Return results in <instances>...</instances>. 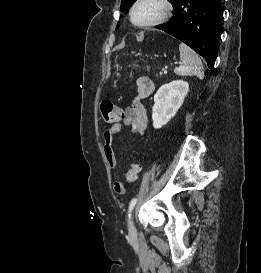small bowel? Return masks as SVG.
Wrapping results in <instances>:
<instances>
[{
	"instance_id": "1",
	"label": "small bowel",
	"mask_w": 261,
	"mask_h": 273,
	"mask_svg": "<svg viewBox=\"0 0 261 273\" xmlns=\"http://www.w3.org/2000/svg\"><path fill=\"white\" fill-rule=\"evenodd\" d=\"M155 91V85L153 81L146 76L139 77L137 79V95L134 97L131 106L126 107L122 111V119L110 126L104 133V153L108 165L111 169H115L117 166V159L113 149V138L120 132L122 127L129 126L133 135L137 137H142L147 129L148 117L146 108L144 105V100L151 96ZM116 183H114V191L117 194H123L119 192L116 188Z\"/></svg>"
}]
</instances>
